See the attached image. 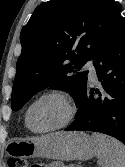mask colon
<instances>
[{
    "label": "colon",
    "mask_w": 125,
    "mask_h": 167,
    "mask_svg": "<svg viewBox=\"0 0 125 167\" xmlns=\"http://www.w3.org/2000/svg\"><path fill=\"white\" fill-rule=\"evenodd\" d=\"M8 167H39V165L28 166L24 159L20 157H11L8 160Z\"/></svg>",
    "instance_id": "colon-1"
}]
</instances>
